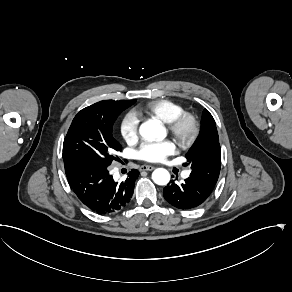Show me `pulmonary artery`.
Wrapping results in <instances>:
<instances>
[{
    "instance_id": "1",
    "label": "pulmonary artery",
    "mask_w": 292,
    "mask_h": 292,
    "mask_svg": "<svg viewBox=\"0 0 292 292\" xmlns=\"http://www.w3.org/2000/svg\"><path fill=\"white\" fill-rule=\"evenodd\" d=\"M190 173H191V171L190 170H187V171L184 172V175L183 176L185 178H187V177H189Z\"/></svg>"
}]
</instances>
